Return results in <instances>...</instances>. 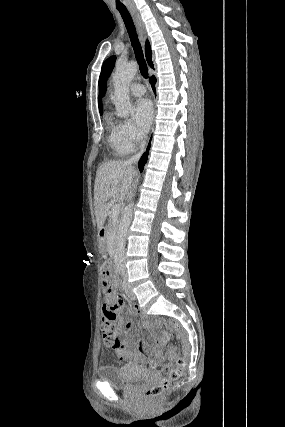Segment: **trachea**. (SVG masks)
<instances>
[{"label": "trachea", "mask_w": 285, "mask_h": 427, "mask_svg": "<svg viewBox=\"0 0 285 427\" xmlns=\"http://www.w3.org/2000/svg\"><path fill=\"white\" fill-rule=\"evenodd\" d=\"M117 10L120 12L122 19L125 23L127 32L129 34V38L135 53L136 60L139 64L141 75L144 78H148V69L147 64L144 59L142 47L140 45V42L138 40V36L136 33V28L134 26L133 20L131 18L130 13L128 12L126 7H117Z\"/></svg>", "instance_id": "3493384b"}]
</instances>
